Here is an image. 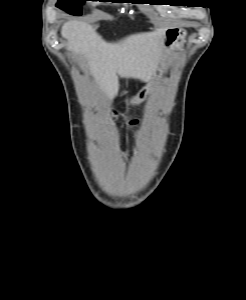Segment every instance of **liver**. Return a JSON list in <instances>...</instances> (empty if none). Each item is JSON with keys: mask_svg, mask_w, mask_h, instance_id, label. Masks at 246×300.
<instances>
[{"mask_svg": "<svg viewBox=\"0 0 246 300\" xmlns=\"http://www.w3.org/2000/svg\"><path fill=\"white\" fill-rule=\"evenodd\" d=\"M164 33V29H158L108 43L82 21L70 20L61 28L68 50L86 60L87 70L110 100L118 93V76L142 82L152 79L160 61Z\"/></svg>", "mask_w": 246, "mask_h": 300, "instance_id": "1", "label": "liver"}]
</instances>
